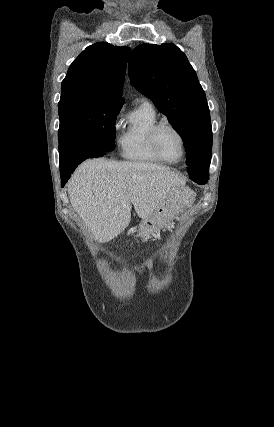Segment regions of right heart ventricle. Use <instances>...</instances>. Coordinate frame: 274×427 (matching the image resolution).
Wrapping results in <instances>:
<instances>
[{
	"label": "right heart ventricle",
	"mask_w": 274,
	"mask_h": 427,
	"mask_svg": "<svg viewBox=\"0 0 274 427\" xmlns=\"http://www.w3.org/2000/svg\"><path fill=\"white\" fill-rule=\"evenodd\" d=\"M157 123L159 118L152 105L141 104L129 113L118 140L120 155L129 161L163 164L150 145V134Z\"/></svg>",
	"instance_id": "e07e8e85"
}]
</instances>
